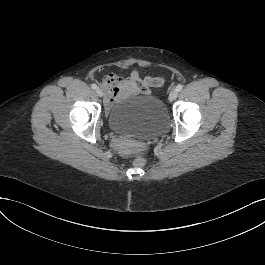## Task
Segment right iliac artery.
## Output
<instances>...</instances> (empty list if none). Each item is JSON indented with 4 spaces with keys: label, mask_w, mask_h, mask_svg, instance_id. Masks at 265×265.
Returning a JSON list of instances; mask_svg holds the SVG:
<instances>
[{
    "label": "right iliac artery",
    "mask_w": 265,
    "mask_h": 265,
    "mask_svg": "<svg viewBox=\"0 0 265 265\" xmlns=\"http://www.w3.org/2000/svg\"><path fill=\"white\" fill-rule=\"evenodd\" d=\"M91 88H92V89H97V85H96V84H92V85H91Z\"/></svg>",
    "instance_id": "82829eb1"
}]
</instances>
